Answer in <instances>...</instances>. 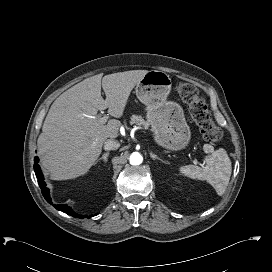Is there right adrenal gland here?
<instances>
[{"mask_svg":"<svg viewBox=\"0 0 272 272\" xmlns=\"http://www.w3.org/2000/svg\"><path fill=\"white\" fill-rule=\"evenodd\" d=\"M108 156H109V152H106L102 155V157H100L95 163L94 165H96L100 160H103L105 163L107 162L108 160Z\"/></svg>","mask_w":272,"mask_h":272,"instance_id":"2a0ac1e0","label":"right adrenal gland"}]
</instances>
